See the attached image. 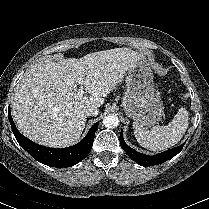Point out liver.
<instances>
[{
  "label": "liver",
  "mask_w": 209,
  "mask_h": 209,
  "mask_svg": "<svg viewBox=\"0 0 209 209\" xmlns=\"http://www.w3.org/2000/svg\"><path fill=\"white\" fill-rule=\"evenodd\" d=\"M143 56L128 48L89 53L79 59L36 63L17 84L12 116L30 140L53 148L76 143L85 128L84 107L97 108ZM89 96L77 95L78 78Z\"/></svg>",
  "instance_id": "obj_1"
}]
</instances>
